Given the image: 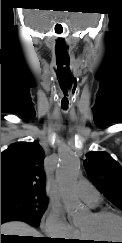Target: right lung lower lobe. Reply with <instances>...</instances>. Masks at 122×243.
I'll list each match as a JSON object with an SVG mask.
<instances>
[{"mask_svg": "<svg viewBox=\"0 0 122 243\" xmlns=\"http://www.w3.org/2000/svg\"><path fill=\"white\" fill-rule=\"evenodd\" d=\"M13 220L23 221V222H26L35 227L39 226V224H40L39 221L35 220L30 215L25 214L23 212L1 209V224L8 222V221H13ZM36 242L54 243V241H50L47 238H42V239L36 240Z\"/></svg>", "mask_w": 122, "mask_h": 243, "instance_id": "1", "label": "right lung lower lobe"}]
</instances>
